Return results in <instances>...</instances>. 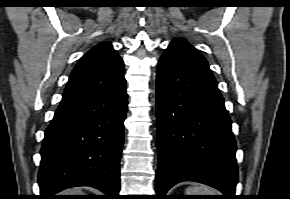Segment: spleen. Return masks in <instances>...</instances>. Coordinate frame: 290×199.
I'll return each mask as SVG.
<instances>
[{"instance_id":"spleen-1","label":"spleen","mask_w":290,"mask_h":199,"mask_svg":"<svg viewBox=\"0 0 290 199\" xmlns=\"http://www.w3.org/2000/svg\"><path fill=\"white\" fill-rule=\"evenodd\" d=\"M186 195H218L217 192L207 186H194L186 189Z\"/></svg>"}]
</instances>
